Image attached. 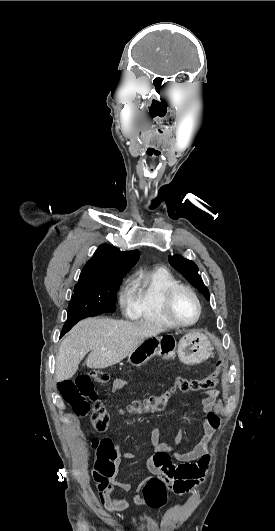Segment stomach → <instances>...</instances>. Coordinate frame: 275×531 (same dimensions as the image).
<instances>
[{
    "label": "stomach",
    "instance_id": "obj_1",
    "mask_svg": "<svg viewBox=\"0 0 275 531\" xmlns=\"http://www.w3.org/2000/svg\"><path fill=\"white\" fill-rule=\"evenodd\" d=\"M214 347L207 335L200 331H191L180 339L178 345L175 337L170 333H163L160 337H147L143 343L137 345L128 355V363L134 367H141L155 355L163 359H173L175 353L184 365H200L213 355Z\"/></svg>",
    "mask_w": 275,
    "mask_h": 531
}]
</instances>
